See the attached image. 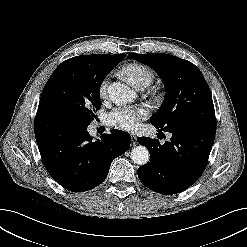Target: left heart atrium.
<instances>
[{"label": "left heart atrium", "instance_id": "left-heart-atrium-1", "mask_svg": "<svg viewBox=\"0 0 247 247\" xmlns=\"http://www.w3.org/2000/svg\"><path fill=\"white\" fill-rule=\"evenodd\" d=\"M146 116L147 110L143 107H119L108 114L107 122L120 129L132 130Z\"/></svg>", "mask_w": 247, "mask_h": 247}]
</instances>
